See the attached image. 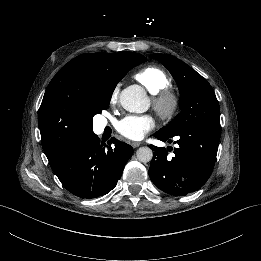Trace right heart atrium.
I'll return each instance as SVG.
<instances>
[{
  "label": "right heart atrium",
  "mask_w": 261,
  "mask_h": 261,
  "mask_svg": "<svg viewBox=\"0 0 261 261\" xmlns=\"http://www.w3.org/2000/svg\"><path fill=\"white\" fill-rule=\"evenodd\" d=\"M117 100H118V89L115 88L110 95V99H109L110 104L112 105L116 103Z\"/></svg>",
  "instance_id": "obj_1"
}]
</instances>
